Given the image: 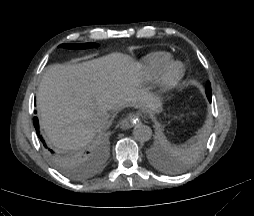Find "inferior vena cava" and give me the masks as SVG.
Returning <instances> with one entry per match:
<instances>
[{"mask_svg":"<svg viewBox=\"0 0 254 216\" xmlns=\"http://www.w3.org/2000/svg\"><path fill=\"white\" fill-rule=\"evenodd\" d=\"M111 115L107 111H100L91 119V124L94 130L101 131L107 128L110 124Z\"/></svg>","mask_w":254,"mask_h":216,"instance_id":"inferior-vena-cava-1","label":"inferior vena cava"}]
</instances>
